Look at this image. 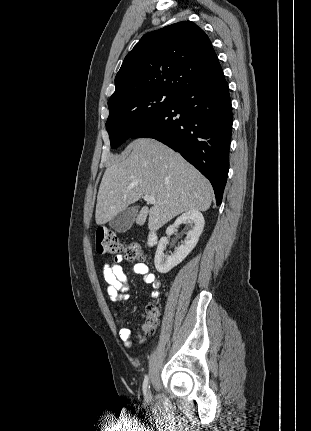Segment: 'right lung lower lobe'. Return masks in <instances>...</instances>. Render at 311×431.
<instances>
[{
  "label": "right lung lower lobe",
  "mask_w": 311,
  "mask_h": 431,
  "mask_svg": "<svg viewBox=\"0 0 311 431\" xmlns=\"http://www.w3.org/2000/svg\"><path fill=\"white\" fill-rule=\"evenodd\" d=\"M232 120L222 72L186 88L131 138H154L179 152L209 179L219 205L229 170Z\"/></svg>",
  "instance_id": "right-lung-lower-lobe-1"
}]
</instances>
